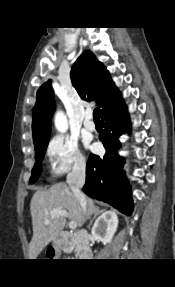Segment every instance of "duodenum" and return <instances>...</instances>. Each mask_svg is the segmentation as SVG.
<instances>
[{
	"label": "duodenum",
	"mask_w": 175,
	"mask_h": 287,
	"mask_svg": "<svg viewBox=\"0 0 175 287\" xmlns=\"http://www.w3.org/2000/svg\"><path fill=\"white\" fill-rule=\"evenodd\" d=\"M59 242L65 251H69L72 247H75L79 257L82 259L92 257V249L89 244L90 237L87 231H64L60 235Z\"/></svg>",
	"instance_id": "duodenum-1"
}]
</instances>
